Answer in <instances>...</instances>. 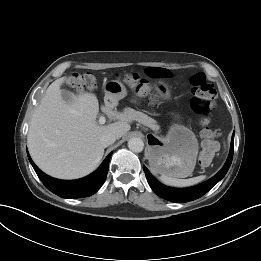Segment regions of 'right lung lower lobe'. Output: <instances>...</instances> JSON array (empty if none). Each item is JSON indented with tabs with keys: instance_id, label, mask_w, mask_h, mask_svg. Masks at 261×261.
<instances>
[{
	"instance_id": "1",
	"label": "right lung lower lobe",
	"mask_w": 261,
	"mask_h": 261,
	"mask_svg": "<svg viewBox=\"0 0 261 261\" xmlns=\"http://www.w3.org/2000/svg\"><path fill=\"white\" fill-rule=\"evenodd\" d=\"M27 154L35 172L46 188L60 197L71 199L91 196L100 189L106 179L109 160L112 155V153H110L101 166L87 177L78 180H59L43 173L34 164L29 153Z\"/></svg>"
}]
</instances>
